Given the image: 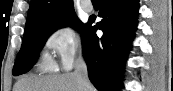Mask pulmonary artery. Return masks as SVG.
Here are the masks:
<instances>
[{"instance_id":"1","label":"pulmonary artery","mask_w":173,"mask_h":91,"mask_svg":"<svg viewBox=\"0 0 173 91\" xmlns=\"http://www.w3.org/2000/svg\"><path fill=\"white\" fill-rule=\"evenodd\" d=\"M82 8L86 12H92L93 11V5L90 1H83L82 2Z\"/></svg>"}]
</instances>
